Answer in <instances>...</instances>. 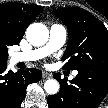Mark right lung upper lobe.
<instances>
[{
	"mask_svg": "<svg viewBox=\"0 0 108 108\" xmlns=\"http://www.w3.org/2000/svg\"><path fill=\"white\" fill-rule=\"evenodd\" d=\"M42 11L41 6L22 3L0 5V42L8 46L18 44L26 28Z\"/></svg>",
	"mask_w": 108,
	"mask_h": 108,
	"instance_id": "1",
	"label": "right lung upper lobe"
}]
</instances>
